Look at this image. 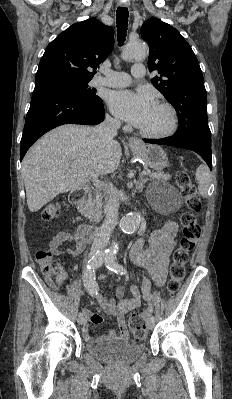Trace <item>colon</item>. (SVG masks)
I'll return each mask as SVG.
<instances>
[{"mask_svg":"<svg viewBox=\"0 0 232 399\" xmlns=\"http://www.w3.org/2000/svg\"><path fill=\"white\" fill-rule=\"evenodd\" d=\"M173 179L177 182L180 193L186 198L187 208L185 213H182L181 221L183 222L182 230L183 236L178 241V251H173V262L171 263V276L169 277L168 288L172 292H177L181 288L182 277L185 274L184 264L191 262L189 252L193 250L192 242L197 239V235H202L200 230V222L196 221L195 213L200 211L201 203L199 200V188L192 184V179L183 170H177L173 174ZM66 208L60 205L58 199H51L40 206L35 213V218L39 222H44L49 216L58 218L60 214L65 213ZM39 268L42 270L44 276L47 277V282L51 283V290H66L65 277L61 273H57V268H54L50 257H54V252L41 250L36 252ZM143 313H134L130 317L131 330L134 335H145L146 326L143 322ZM134 341H141V336H134Z\"/></svg>","mask_w":232,"mask_h":399,"instance_id":"colon-1","label":"colon"}]
</instances>
